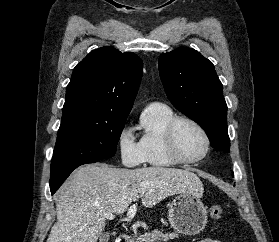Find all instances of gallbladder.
<instances>
[{
    "instance_id": "gallbladder-1",
    "label": "gallbladder",
    "mask_w": 279,
    "mask_h": 242,
    "mask_svg": "<svg viewBox=\"0 0 279 242\" xmlns=\"http://www.w3.org/2000/svg\"><path fill=\"white\" fill-rule=\"evenodd\" d=\"M109 233H103L101 236H100V242H108L109 240Z\"/></svg>"
}]
</instances>
